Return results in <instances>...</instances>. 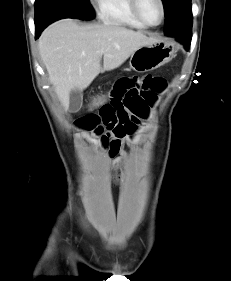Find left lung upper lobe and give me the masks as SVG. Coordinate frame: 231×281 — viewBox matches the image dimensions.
<instances>
[{
  "instance_id": "obj_1",
  "label": "left lung upper lobe",
  "mask_w": 231,
  "mask_h": 281,
  "mask_svg": "<svg viewBox=\"0 0 231 281\" xmlns=\"http://www.w3.org/2000/svg\"><path fill=\"white\" fill-rule=\"evenodd\" d=\"M165 11L164 32L171 34L180 27L192 25L191 0H162Z\"/></svg>"
}]
</instances>
